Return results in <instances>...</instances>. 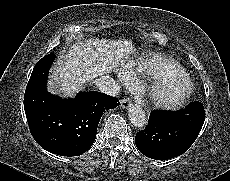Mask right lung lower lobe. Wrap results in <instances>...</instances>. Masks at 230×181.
<instances>
[{"label":"right lung lower lobe","instance_id":"98d812e1","mask_svg":"<svg viewBox=\"0 0 230 181\" xmlns=\"http://www.w3.org/2000/svg\"><path fill=\"white\" fill-rule=\"evenodd\" d=\"M54 58V54L47 55L35 65L25 91L24 110L30 132L42 148L61 156H78L92 146L105 110L120 103L97 91L81 92L73 100L48 93L46 80Z\"/></svg>","mask_w":230,"mask_h":181}]
</instances>
